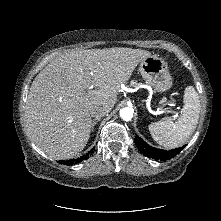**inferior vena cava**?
I'll use <instances>...</instances> for the list:
<instances>
[{
	"label": "inferior vena cava",
	"instance_id": "obj_1",
	"mask_svg": "<svg viewBox=\"0 0 221 221\" xmlns=\"http://www.w3.org/2000/svg\"><path fill=\"white\" fill-rule=\"evenodd\" d=\"M89 112L92 117L102 118L107 112H109L108 108L104 105H93L90 107Z\"/></svg>",
	"mask_w": 221,
	"mask_h": 221
}]
</instances>
